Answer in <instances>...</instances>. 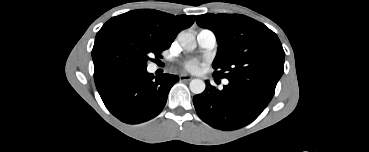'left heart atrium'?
<instances>
[{
	"label": "left heart atrium",
	"instance_id": "1",
	"mask_svg": "<svg viewBox=\"0 0 369 152\" xmlns=\"http://www.w3.org/2000/svg\"><path fill=\"white\" fill-rule=\"evenodd\" d=\"M184 67L186 70L190 72H197L200 68V63L199 61L193 59V60L186 61L184 63Z\"/></svg>",
	"mask_w": 369,
	"mask_h": 152
}]
</instances>
